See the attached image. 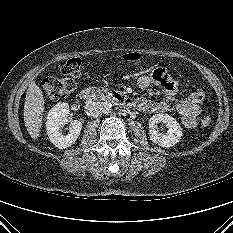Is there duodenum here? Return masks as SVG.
<instances>
[{"label":"duodenum","mask_w":233,"mask_h":233,"mask_svg":"<svg viewBox=\"0 0 233 233\" xmlns=\"http://www.w3.org/2000/svg\"><path fill=\"white\" fill-rule=\"evenodd\" d=\"M81 99L87 102L97 100H108L118 104L124 108H132L135 102L127 95L118 91L105 89V88H85L80 93Z\"/></svg>","instance_id":"duodenum-1"}]
</instances>
